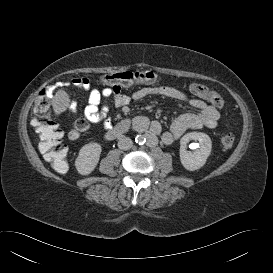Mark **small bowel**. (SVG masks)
Returning a JSON list of instances; mask_svg holds the SVG:
<instances>
[{
	"label": "small bowel",
	"instance_id": "1",
	"mask_svg": "<svg viewBox=\"0 0 273 273\" xmlns=\"http://www.w3.org/2000/svg\"><path fill=\"white\" fill-rule=\"evenodd\" d=\"M67 83L88 93V101L83 109V115L93 124L104 122V124L109 127L112 123L109 117V107L103 104L104 98L113 97L114 105L116 107L126 106L131 100L128 95L122 93L121 88L111 86L104 88L92 87L90 79L86 77L73 78ZM191 86L192 84L189 85L190 93L200 98H204L195 94L192 91ZM150 96L187 101L192 108L198 111L197 113H185L178 116L172 122L170 129L165 131L161 136V139L165 144L172 143L187 130L201 128L213 129L217 126L220 117L218 110L202 99L191 98L185 91L171 86H150L138 89L132 94L134 100H140ZM69 108L72 111H76L78 106L76 103H71ZM160 132V124L157 121H152L149 125V133L155 136Z\"/></svg>",
	"mask_w": 273,
	"mask_h": 273
}]
</instances>
